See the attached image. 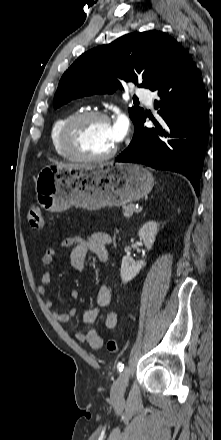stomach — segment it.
I'll return each mask as SVG.
<instances>
[{
	"instance_id": "1",
	"label": "stomach",
	"mask_w": 221,
	"mask_h": 440,
	"mask_svg": "<svg viewBox=\"0 0 221 440\" xmlns=\"http://www.w3.org/2000/svg\"><path fill=\"white\" fill-rule=\"evenodd\" d=\"M154 185L143 166L105 163L85 168L44 167L35 180L37 202L51 212L72 206L98 210L121 206L146 196Z\"/></svg>"
}]
</instances>
